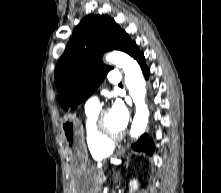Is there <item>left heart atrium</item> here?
I'll return each instance as SVG.
<instances>
[{"label":"left heart atrium","instance_id":"obj_1","mask_svg":"<svg viewBox=\"0 0 221 193\" xmlns=\"http://www.w3.org/2000/svg\"><path fill=\"white\" fill-rule=\"evenodd\" d=\"M110 114L121 130H124L129 121V111L121 100H116L110 110Z\"/></svg>","mask_w":221,"mask_h":193}]
</instances>
